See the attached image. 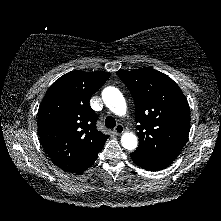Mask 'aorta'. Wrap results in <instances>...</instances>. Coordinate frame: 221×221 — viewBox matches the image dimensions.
<instances>
[{
	"label": "aorta",
	"mask_w": 221,
	"mask_h": 221,
	"mask_svg": "<svg viewBox=\"0 0 221 221\" xmlns=\"http://www.w3.org/2000/svg\"><path fill=\"white\" fill-rule=\"evenodd\" d=\"M102 99L105 105L116 115L124 116L126 114V101L119 89L112 86L104 88ZM121 144L127 150H134L138 144L136 135L131 132H125L121 137Z\"/></svg>",
	"instance_id": "1"
}]
</instances>
